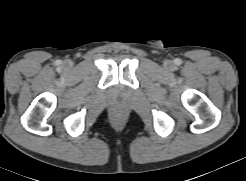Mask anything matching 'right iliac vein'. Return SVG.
<instances>
[{"label": "right iliac vein", "instance_id": "obj_1", "mask_svg": "<svg viewBox=\"0 0 246 181\" xmlns=\"http://www.w3.org/2000/svg\"><path fill=\"white\" fill-rule=\"evenodd\" d=\"M71 66H72V62H70V61L65 62L66 68H71Z\"/></svg>", "mask_w": 246, "mask_h": 181}]
</instances>
